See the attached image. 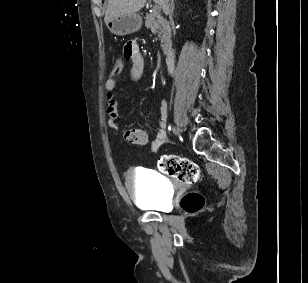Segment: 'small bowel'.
Returning a JSON list of instances; mask_svg holds the SVG:
<instances>
[{"instance_id":"obj_1","label":"small bowel","mask_w":308,"mask_h":283,"mask_svg":"<svg viewBox=\"0 0 308 283\" xmlns=\"http://www.w3.org/2000/svg\"><path fill=\"white\" fill-rule=\"evenodd\" d=\"M123 54L132 62L130 69V77L134 81L140 80L145 73V60L139 50L136 41H129L124 45ZM116 80L109 78L105 82L108 126L114 131L123 132L125 140L129 143L143 146L148 143L149 135L143 129L133 128L122 130L120 125V111L117 99L115 98ZM166 119H167V104L162 101L160 106V118L158 121L159 128L155 134L153 142V150L156 151L160 146L166 142Z\"/></svg>"}]
</instances>
